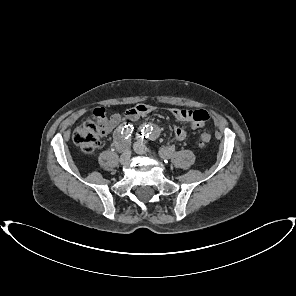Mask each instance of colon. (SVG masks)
I'll list each match as a JSON object with an SVG mask.
<instances>
[{"instance_id": "obj_1", "label": "colon", "mask_w": 296, "mask_h": 296, "mask_svg": "<svg viewBox=\"0 0 296 296\" xmlns=\"http://www.w3.org/2000/svg\"><path fill=\"white\" fill-rule=\"evenodd\" d=\"M107 116L103 108L94 111L93 117L78 126L73 132V142L83 153H92L100 143V137L107 132ZM211 134L204 132L199 137L201 146L211 141Z\"/></svg>"}]
</instances>
